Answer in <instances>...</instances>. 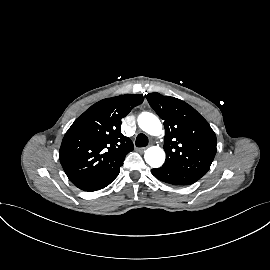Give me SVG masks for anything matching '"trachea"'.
I'll list each match as a JSON object with an SVG mask.
<instances>
[{
	"instance_id": "1",
	"label": "trachea",
	"mask_w": 270,
	"mask_h": 270,
	"mask_svg": "<svg viewBox=\"0 0 270 270\" xmlns=\"http://www.w3.org/2000/svg\"><path fill=\"white\" fill-rule=\"evenodd\" d=\"M137 147H145L148 145V138L145 134L141 133L137 136L136 142Z\"/></svg>"
}]
</instances>
